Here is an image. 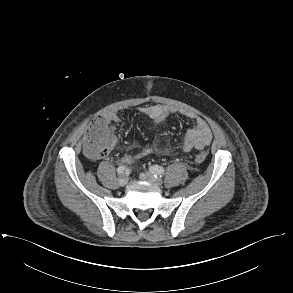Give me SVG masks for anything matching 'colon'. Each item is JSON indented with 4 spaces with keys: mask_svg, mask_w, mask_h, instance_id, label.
<instances>
[{
    "mask_svg": "<svg viewBox=\"0 0 293 293\" xmlns=\"http://www.w3.org/2000/svg\"><path fill=\"white\" fill-rule=\"evenodd\" d=\"M115 136L111 125L103 117H95L89 124L84 137V149L91 158H100L106 155L115 145ZM207 158L206 152H198L197 162Z\"/></svg>",
    "mask_w": 293,
    "mask_h": 293,
    "instance_id": "1",
    "label": "colon"
}]
</instances>
